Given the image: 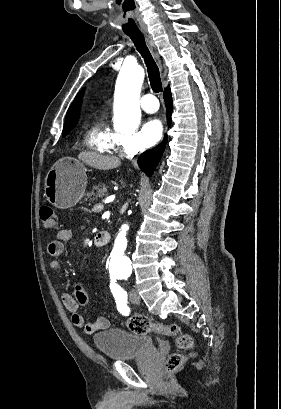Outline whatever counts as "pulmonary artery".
<instances>
[{
    "instance_id": "pulmonary-artery-1",
    "label": "pulmonary artery",
    "mask_w": 281,
    "mask_h": 409,
    "mask_svg": "<svg viewBox=\"0 0 281 409\" xmlns=\"http://www.w3.org/2000/svg\"><path fill=\"white\" fill-rule=\"evenodd\" d=\"M155 102H156L155 94H144L143 97L141 98V107L145 111L154 112L157 110Z\"/></svg>"
}]
</instances>
